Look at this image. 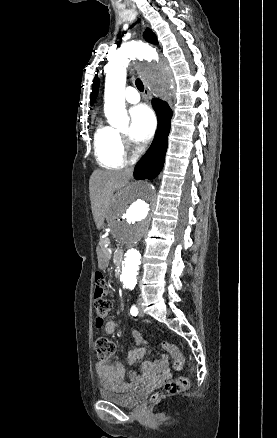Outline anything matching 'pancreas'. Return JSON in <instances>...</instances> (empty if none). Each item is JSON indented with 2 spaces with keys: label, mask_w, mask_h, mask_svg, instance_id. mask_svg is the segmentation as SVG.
<instances>
[{
  "label": "pancreas",
  "mask_w": 277,
  "mask_h": 438,
  "mask_svg": "<svg viewBox=\"0 0 277 438\" xmlns=\"http://www.w3.org/2000/svg\"><path fill=\"white\" fill-rule=\"evenodd\" d=\"M111 232L110 231H103L102 235L99 238V241L101 244L97 245V252L98 253H114L116 250V247L114 244H108L111 239Z\"/></svg>",
  "instance_id": "cf45deb5"
}]
</instances>
